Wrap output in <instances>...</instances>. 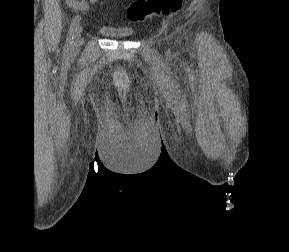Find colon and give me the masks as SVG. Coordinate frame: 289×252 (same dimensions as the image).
<instances>
[{
	"mask_svg": "<svg viewBox=\"0 0 289 252\" xmlns=\"http://www.w3.org/2000/svg\"><path fill=\"white\" fill-rule=\"evenodd\" d=\"M184 0H133L127 9L130 21H143L153 16H168L178 12Z\"/></svg>",
	"mask_w": 289,
	"mask_h": 252,
	"instance_id": "obj_1",
	"label": "colon"
}]
</instances>
